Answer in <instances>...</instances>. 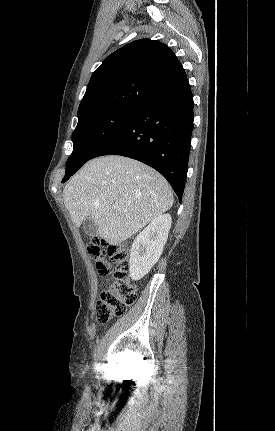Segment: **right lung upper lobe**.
<instances>
[{"label":"right lung upper lobe","mask_w":275,"mask_h":431,"mask_svg":"<svg viewBox=\"0 0 275 431\" xmlns=\"http://www.w3.org/2000/svg\"><path fill=\"white\" fill-rule=\"evenodd\" d=\"M185 78L168 46L156 40H136L109 55L92 74L78 118L109 108H139Z\"/></svg>","instance_id":"obj_1"}]
</instances>
